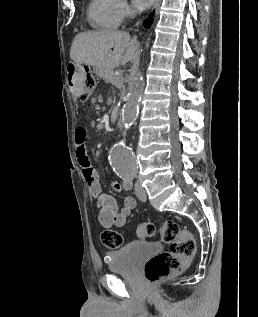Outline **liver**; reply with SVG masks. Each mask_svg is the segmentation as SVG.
Here are the masks:
<instances>
[{"mask_svg": "<svg viewBox=\"0 0 258 317\" xmlns=\"http://www.w3.org/2000/svg\"><path fill=\"white\" fill-rule=\"evenodd\" d=\"M138 48L137 38H131L129 32L90 30L76 34L72 42L70 58L77 64H91L102 72H108L119 64L133 60Z\"/></svg>", "mask_w": 258, "mask_h": 317, "instance_id": "6515ba94", "label": "liver"}]
</instances>
